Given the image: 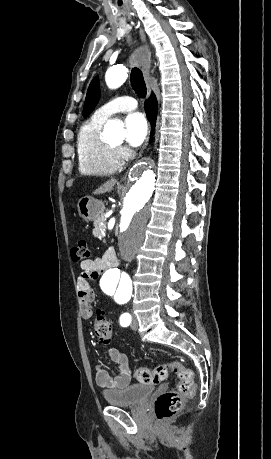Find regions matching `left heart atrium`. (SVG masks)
Segmentation results:
<instances>
[{"mask_svg": "<svg viewBox=\"0 0 271 459\" xmlns=\"http://www.w3.org/2000/svg\"><path fill=\"white\" fill-rule=\"evenodd\" d=\"M126 141L132 147L140 146L147 137L148 126L141 113H133L125 120Z\"/></svg>", "mask_w": 271, "mask_h": 459, "instance_id": "1", "label": "left heart atrium"}]
</instances>
